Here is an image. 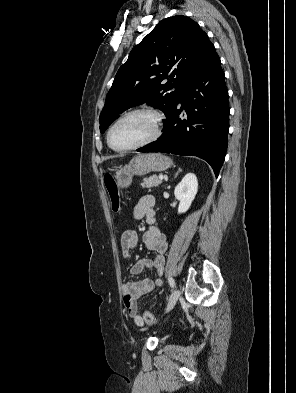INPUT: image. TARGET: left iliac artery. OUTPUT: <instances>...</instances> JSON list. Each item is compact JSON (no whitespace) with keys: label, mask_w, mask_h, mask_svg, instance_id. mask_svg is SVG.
<instances>
[{"label":"left iliac artery","mask_w":296,"mask_h":393,"mask_svg":"<svg viewBox=\"0 0 296 393\" xmlns=\"http://www.w3.org/2000/svg\"><path fill=\"white\" fill-rule=\"evenodd\" d=\"M168 282L171 288L175 287V281L172 277H168Z\"/></svg>","instance_id":"obj_1"}]
</instances>
